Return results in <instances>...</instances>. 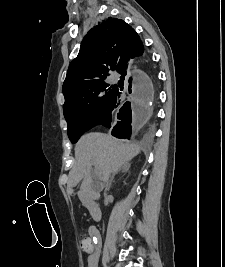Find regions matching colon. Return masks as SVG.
<instances>
[{
  "label": "colon",
  "mask_w": 225,
  "mask_h": 267,
  "mask_svg": "<svg viewBox=\"0 0 225 267\" xmlns=\"http://www.w3.org/2000/svg\"><path fill=\"white\" fill-rule=\"evenodd\" d=\"M80 245L85 252H90L93 248L91 240L86 236L81 237Z\"/></svg>",
  "instance_id": "obj_1"
}]
</instances>
